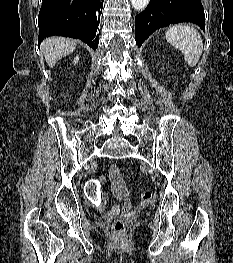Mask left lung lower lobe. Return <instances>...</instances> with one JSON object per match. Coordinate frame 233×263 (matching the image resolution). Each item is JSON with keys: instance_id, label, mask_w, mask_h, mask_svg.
<instances>
[{"instance_id": "left-lung-lower-lobe-1", "label": "left lung lower lobe", "mask_w": 233, "mask_h": 263, "mask_svg": "<svg viewBox=\"0 0 233 263\" xmlns=\"http://www.w3.org/2000/svg\"><path fill=\"white\" fill-rule=\"evenodd\" d=\"M185 21L205 31L201 0H150L147 8L135 17L136 44L140 47L159 28Z\"/></svg>"}]
</instances>
